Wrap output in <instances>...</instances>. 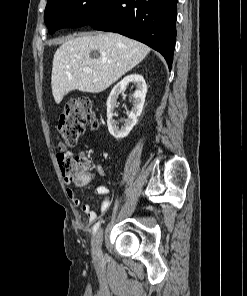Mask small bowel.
<instances>
[{"label":"small bowel","mask_w":247,"mask_h":296,"mask_svg":"<svg viewBox=\"0 0 247 296\" xmlns=\"http://www.w3.org/2000/svg\"><path fill=\"white\" fill-rule=\"evenodd\" d=\"M68 154L71 155V153H68ZM98 172L101 175H106L101 168H98ZM66 181H67V179H66ZM96 192L100 198L99 211L101 213H104L107 211V209L109 208V205H110V200H111L110 192L105 185H99L97 187ZM66 193L74 205L78 206L81 204L80 198L76 195L75 191L72 188L68 187L66 189ZM82 211L87 216V218L90 222H93L97 219V212L95 210H93L92 207L88 203L82 204Z\"/></svg>","instance_id":"obj_1"}]
</instances>
